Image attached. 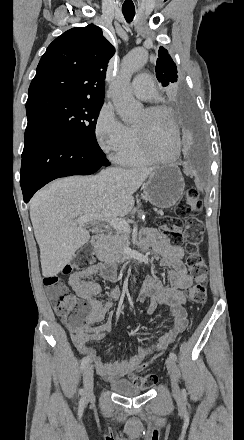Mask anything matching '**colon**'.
Returning a JSON list of instances; mask_svg holds the SVG:
<instances>
[{
  "instance_id": "5ec220e1",
  "label": "colon",
  "mask_w": 244,
  "mask_h": 440,
  "mask_svg": "<svg viewBox=\"0 0 244 440\" xmlns=\"http://www.w3.org/2000/svg\"><path fill=\"white\" fill-rule=\"evenodd\" d=\"M202 203L193 188L186 192V197L179 202L174 215L161 214L158 216V226L167 231V235L174 246L184 245L186 251L185 264L194 284L188 290L191 302L203 305L207 300L208 274L199 245L204 236V225L200 218ZM184 230V233L181 232ZM92 248H77L76 256L61 274L75 271L82 272L88 266L92 257ZM43 285L50 294V298L57 315L66 320L69 327L82 332L87 321V314L92 313L91 305H84L77 301L76 296L67 289L60 274L46 275ZM156 373L132 374L130 380L143 387H151L157 382Z\"/></svg>"
}]
</instances>
